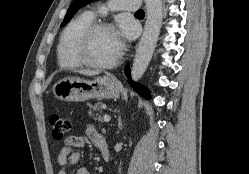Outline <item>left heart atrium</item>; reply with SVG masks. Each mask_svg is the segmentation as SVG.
Masks as SVG:
<instances>
[{
    "mask_svg": "<svg viewBox=\"0 0 249 174\" xmlns=\"http://www.w3.org/2000/svg\"><path fill=\"white\" fill-rule=\"evenodd\" d=\"M132 28H133V26L131 24H124L123 25V31L124 32H129V31L132 30Z\"/></svg>",
    "mask_w": 249,
    "mask_h": 174,
    "instance_id": "obj_1",
    "label": "left heart atrium"
}]
</instances>
